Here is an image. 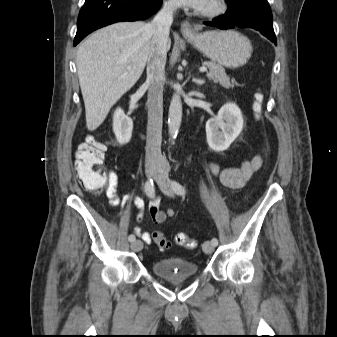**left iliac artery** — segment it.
<instances>
[{
	"instance_id": "44dca946",
	"label": "left iliac artery",
	"mask_w": 337,
	"mask_h": 337,
	"mask_svg": "<svg viewBox=\"0 0 337 337\" xmlns=\"http://www.w3.org/2000/svg\"><path fill=\"white\" fill-rule=\"evenodd\" d=\"M172 188L174 190L175 193L179 194V195H184L186 193L185 188L177 181H173L172 182ZM211 243L216 246L218 245V240L217 238H213L211 240Z\"/></svg>"
}]
</instances>
